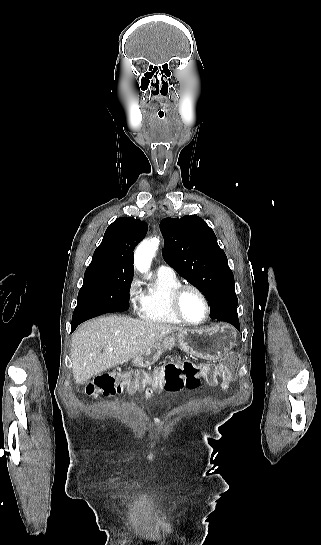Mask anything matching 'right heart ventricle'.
Here are the masks:
<instances>
[{
  "instance_id": "1",
  "label": "right heart ventricle",
  "mask_w": 321,
  "mask_h": 545,
  "mask_svg": "<svg viewBox=\"0 0 321 545\" xmlns=\"http://www.w3.org/2000/svg\"><path fill=\"white\" fill-rule=\"evenodd\" d=\"M180 284L177 276L157 273L153 285L143 296L139 311L141 319L157 325H178L168 309V295Z\"/></svg>"
}]
</instances>
